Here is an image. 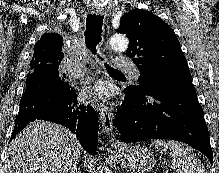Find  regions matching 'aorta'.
Instances as JSON below:
<instances>
[{
	"instance_id": "1",
	"label": "aorta",
	"mask_w": 219,
	"mask_h": 173,
	"mask_svg": "<svg viewBox=\"0 0 219 173\" xmlns=\"http://www.w3.org/2000/svg\"><path fill=\"white\" fill-rule=\"evenodd\" d=\"M129 45L128 38L124 34H114L108 42V46L111 50L117 51V52H124L127 50ZM99 173H112V171L105 167L102 170H100Z\"/></svg>"
}]
</instances>
